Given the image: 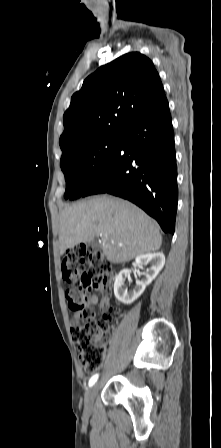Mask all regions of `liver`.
<instances>
[{
    "mask_svg": "<svg viewBox=\"0 0 221 448\" xmlns=\"http://www.w3.org/2000/svg\"><path fill=\"white\" fill-rule=\"evenodd\" d=\"M102 238L101 246L112 263L128 262L160 249L157 224L132 203L100 196L66 207L59 219L60 254L80 243Z\"/></svg>",
    "mask_w": 221,
    "mask_h": 448,
    "instance_id": "6515ba94",
    "label": "liver"
}]
</instances>
